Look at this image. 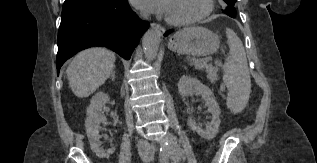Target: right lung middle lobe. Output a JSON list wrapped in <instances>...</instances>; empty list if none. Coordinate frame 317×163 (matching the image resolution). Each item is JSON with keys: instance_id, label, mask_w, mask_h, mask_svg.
Segmentation results:
<instances>
[{"instance_id": "dd1d6c3e", "label": "right lung middle lobe", "mask_w": 317, "mask_h": 163, "mask_svg": "<svg viewBox=\"0 0 317 163\" xmlns=\"http://www.w3.org/2000/svg\"><path fill=\"white\" fill-rule=\"evenodd\" d=\"M119 0H67L63 4L62 17L76 14L94 7L110 5Z\"/></svg>"}]
</instances>
